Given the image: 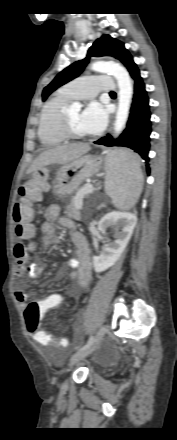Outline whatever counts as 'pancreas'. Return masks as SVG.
Returning <instances> with one entry per match:
<instances>
[{
  "mask_svg": "<svg viewBox=\"0 0 177 440\" xmlns=\"http://www.w3.org/2000/svg\"><path fill=\"white\" fill-rule=\"evenodd\" d=\"M88 185H85L83 188L79 189L76 193V195L72 198L70 204L66 207V210L64 211V214H66L67 217L80 220L81 212L83 207V198L87 197L89 193H86Z\"/></svg>",
  "mask_w": 177,
  "mask_h": 440,
  "instance_id": "pancreas-1",
  "label": "pancreas"
}]
</instances>
